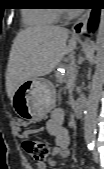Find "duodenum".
<instances>
[{
    "mask_svg": "<svg viewBox=\"0 0 104 169\" xmlns=\"http://www.w3.org/2000/svg\"><path fill=\"white\" fill-rule=\"evenodd\" d=\"M86 109V102L84 100H78L74 104V114L77 118H81L84 115Z\"/></svg>",
    "mask_w": 104,
    "mask_h": 169,
    "instance_id": "410a0bca",
    "label": "duodenum"
}]
</instances>
